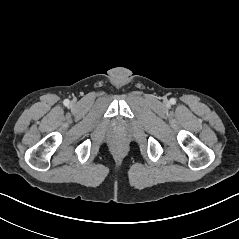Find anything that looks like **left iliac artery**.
Wrapping results in <instances>:
<instances>
[{
    "instance_id": "left-iliac-artery-1",
    "label": "left iliac artery",
    "mask_w": 239,
    "mask_h": 239,
    "mask_svg": "<svg viewBox=\"0 0 239 239\" xmlns=\"http://www.w3.org/2000/svg\"><path fill=\"white\" fill-rule=\"evenodd\" d=\"M171 103H172V104H174V103H175V100H174V99H172V100H171Z\"/></svg>"
}]
</instances>
